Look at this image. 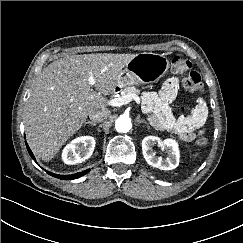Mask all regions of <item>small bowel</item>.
<instances>
[{
    "label": "small bowel",
    "instance_id": "1",
    "mask_svg": "<svg viewBox=\"0 0 243 243\" xmlns=\"http://www.w3.org/2000/svg\"><path fill=\"white\" fill-rule=\"evenodd\" d=\"M178 86L177 77L168 79L158 93H149L145 96V108L152 112L151 122L156 128L171 132L183 141H192L194 132L200 131L206 121L207 105L199 98L189 115L175 117L168 104L175 99Z\"/></svg>",
    "mask_w": 243,
    "mask_h": 243
}]
</instances>
